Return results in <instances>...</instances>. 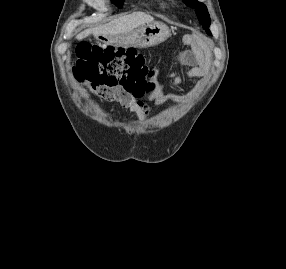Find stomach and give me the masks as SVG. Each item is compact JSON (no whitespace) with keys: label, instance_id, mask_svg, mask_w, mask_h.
<instances>
[{"label":"stomach","instance_id":"0dacf381","mask_svg":"<svg viewBox=\"0 0 286 269\" xmlns=\"http://www.w3.org/2000/svg\"><path fill=\"white\" fill-rule=\"evenodd\" d=\"M169 35L170 31L166 24L153 22L135 28L129 33L110 37L106 43L145 48L164 42Z\"/></svg>","mask_w":286,"mask_h":269}]
</instances>
